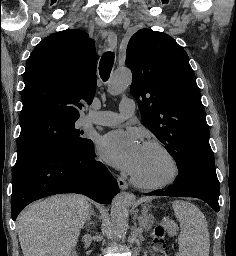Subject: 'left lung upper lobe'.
I'll return each instance as SVG.
<instances>
[{
    "instance_id": "1",
    "label": "left lung upper lobe",
    "mask_w": 236,
    "mask_h": 256,
    "mask_svg": "<svg viewBox=\"0 0 236 256\" xmlns=\"http://www.w3.org/2000/svg\"><path fill=\"white\" fill-rule=\"evenodd\" d=\"M126 65L131 94L139 101L149 130L175 159L187 164L215 165L204 106L185 50L169 35L141 29L130 39Z\"/></svg>"
}]
</instances>
